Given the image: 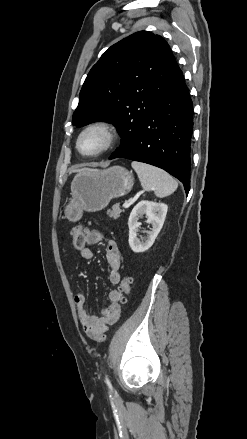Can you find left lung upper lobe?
I'll return each mask as SVG.
<instances>
[{"label": "left lung upper lobe", "mask_w": 247, "mask_h": 439, "mask_svg": "<svg viewBox=\"0 0 247 439\" xmlns=\"http://www.w3.org/2000/svg\"><path fill=\"white\" fill-rule=\"evenodd\" d=\"M168 43L140 31L111 46L88 73L72 124L116 126L126 147L158 98L182 78Z\"/></svg>", "instance_id": "1"}]
</instances>
